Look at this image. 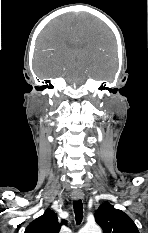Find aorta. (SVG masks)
Masks as SVG:
<instances>
[{"instance_id":"obj_1","label":"aorta","mask_w":148,"mask_h":233,"mask_svg":"<svg viewBox=\"0 0 148 233\" xmlns=\"http://www.w3.org/2000/svg\"><path fill=\"white\" fill-rule=\"evenodd\" d=\"M79 233H102L101 228L94 224V225H86L84 226Z\"/></svg>"}]
</instances>
